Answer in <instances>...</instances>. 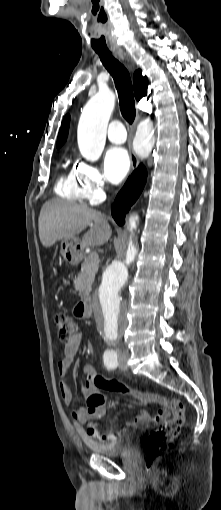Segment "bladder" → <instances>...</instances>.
Here are the masks:
<instances>
[{"instance_id":"1","label":"bladder","mask_w":221,"mask_h":510,"mask_svg":"<svg viewBox=\"0 0 221 510\" xmlns=\"http://www.w3.org/2000/svg\"><path fill=\"white\" fill-rule=\"evenodd\" d=\"M136 434L126 433L113 441L99 443L88 442L87 446L93 452L105 457L116 458L128 455L135 447Z\"/></svg>"}]
</instances>
